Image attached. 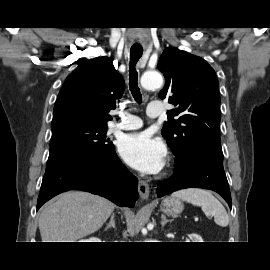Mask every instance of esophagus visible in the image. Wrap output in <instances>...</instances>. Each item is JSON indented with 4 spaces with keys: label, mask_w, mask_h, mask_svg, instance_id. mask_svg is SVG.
I'll return each instance as SVG.
<instances>
[{
    "label": "esophagus",
    "mask_w": 270,
    "mask_h": 270,
    "mask_svg": "<svg viewBox=\"0 0 270 270\" xmlns=\"http://www.w3.org/2000/svg\"><path fill=\"white\" fill-rule=\"evenodd\" d=\"M138 192L142 200H146L149 197V185L144 180L139 179Z\"/></svg>",
    "instance_id": "esophagus-1"
}]
</instances>
